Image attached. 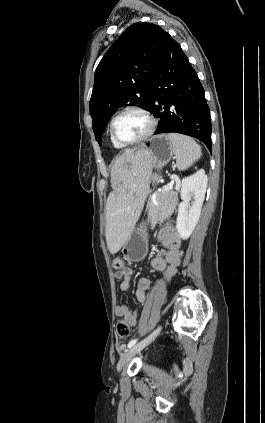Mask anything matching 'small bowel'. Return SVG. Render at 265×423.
Listing matches in <instances>:
<instances>
[{
	"mask_svg": "<svg viewBox=\"0 0 265 423\" xmlns=\"http://www.w3.org/2000/svg\"><path fill=\"white\" fill-rule=\"evenodd\" d=\"M158 239L163 249L151 259V266L154 270L162 272L164 279L169 282L181 262V238L175 228L166 222L158 232ZM115 276L121 281L120 289L123 292H127L130 287L132 269L124 266L123 270L116 271ZM149 289L150 280L146 277L140 278L136 288V299L141 303L145 302ZM115 314L117 317L125 319L131 326H135L138 323V314L126 306H117Z\"/></svg>",
	"mask_w": 265,
	"mask_h": 423,
	"instance_id": "c3829d8e",
	"label": "small bowel"
}]
</instances>
